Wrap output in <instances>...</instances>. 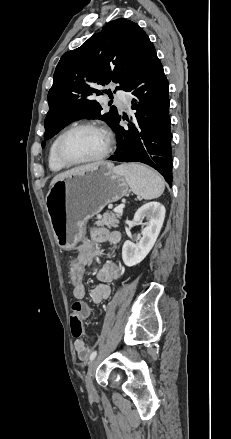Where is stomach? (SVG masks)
I'll use <instances>...</instances> for the list:
<instances>
[{
    "mask_svg": "<svg viewBox=\"0 0 231 439\" xmlns=\"http://www.w3.org/2000/svg\"><path fill=\"white\" fill-rule=\"evenodd\" d=\"M129 190L125 177L113 164L95 167L57 181L46 196V210L57 245L64 250L76 247L87 221Z\"/></svg>",
    "mask_w": 231,
    "mask_h": 439,
    "instance_id": "0dacf381",
    "label": "stomach"
}]
</instances>
